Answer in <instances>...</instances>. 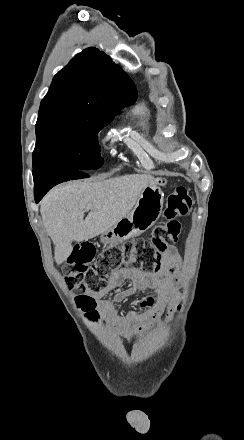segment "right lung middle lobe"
<instances>
[{"mask_svg": "<svg viewBox=\"0 0 244 440\" xmlns=\"http://www.w3.org/2000/svg\"><path fill=\"white\" fill-rule=\"evenodd\" d=\"M117 112L78 103H41L35 126L33 170L68 166L88 171L101 167L98 133Z\"/></svg>", "mask_w": 244, "mask_h": 440, "instance_id": "1", "label": "right lung middle lobe"}]
</instances>
